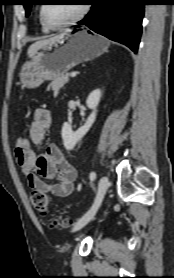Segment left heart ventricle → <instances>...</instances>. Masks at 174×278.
Wrapping results in <instances>:
<instances>
[{
  "label": "left heart ventricle",
  "mask_w": 174,
  "mask_h": 278,
  "mask_svg": "<svg viewBox=\"0 0 174 278\" xmlns=\"http://www.w3.org/2000/svg\"><path fill=\"white\" fill-rule=\"evenodd\" d=\"M81 4L47 5L46 16L50 22L61 24L74 18L81 10Z\"/></svg>",
  "instance_id": "left-heart-ventricle-1"
}]
</instances>
